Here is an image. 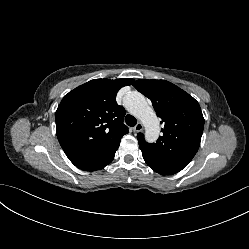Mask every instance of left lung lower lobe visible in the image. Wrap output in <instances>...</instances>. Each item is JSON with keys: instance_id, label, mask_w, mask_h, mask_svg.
Masks as SVG:
<instances>
[{"instance_id": "1", "label": "left lung lower lobe", "mask_w": 249, "mask_h": 249, "mask_svg": "<svg viewBox=\"0 0 249 249\" xmlns=\"http://www.w3.org/2000/svg\"><path fill=\"white\" fill-rule=\"evenodd\" d=\"M142 155L147 165L161 175H172L186 167L184 164L155 159L143 153Z\"/></svg>"}]
</instances>
